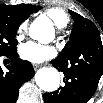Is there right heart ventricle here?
Returning a JSON list of instances; mask_svg holds the SVG:
<instances>
[{
    "label": "right heart ventricle",
    "mask_w": 103,
    "mask_h": 103,
    "mask_svg": "<svg viewBox=\"0 0 103 103\" xmlns=\"http://www.w3.org/2000/svg\"><path fill=\"white\" fill-rule=\"evenodd\" d=\"M46 14L58 28H64L69 22L68 15L60 8H50L46 11Z\"/></svg>",
    "instance_id": "right-heart-ventricle-1"
}]
</instances>
